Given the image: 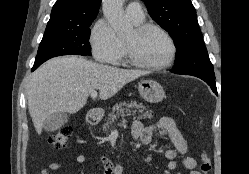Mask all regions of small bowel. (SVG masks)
<instances>
[{"label":"small bowel","instance_id":"small-bowel-1","mask_svg":"<svg viewBox=\"0 0 249 174\" xmlns=\"http://www.w3.org/2000/svg\"><path fill=\"white\" fill-rule=\"evenodd\" d=\"M157 132L160 136L167 137L174 146V149H167L163 152V156L169 160L168 169L174 171L178 168L179 162L176 160L181 157V164L186 169L190 170V174H200L195 170L197 161L195 158L188 156V146L174 120L168 117L161 118L155 125L144 126L140 121H134L132 124V136L134 139L141 141L143 144H149L154 133ZM75 162L83 164L86 157L82 154L75 156ZM100 162L104 167L103 174H122L123 169L120 163L113 162L107 157H101ZM63 167L60 162H52L48 169H43L41 174H50V171L55 172Z\"/></svg>","mask_w":249,"mask_h":174}]
</instances>
